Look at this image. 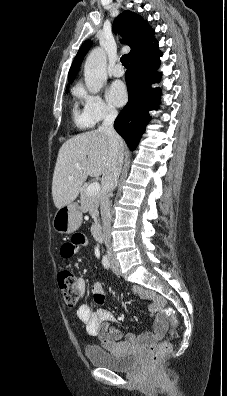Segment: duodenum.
I'll use <instances>...</instances> for the list:
<instances>
[{
  "label": "duodenum",
  "mask_w": 227,
  "mask_h": 396,
  "mask_svg": "<svg viewBox=\"0 0 227 396\" xmlns=\"http://www.w3.org/2000/svg\"><path fill=\"white\" fill-rule=\"evenodd\" d=\"M92 235L96 241L102 240V228L100 224H95L92 227Z\"/></svg>",
  "instance_id": "1"
}]
</instances>
